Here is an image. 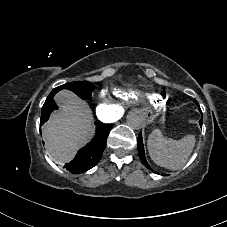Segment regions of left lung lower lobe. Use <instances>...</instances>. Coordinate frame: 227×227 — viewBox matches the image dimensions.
Listing matches in <instances>:
<instances>
[{"instance_id": "1", "label": "left lung lower lobe", "mask_w": 227, "mask_h": 227, "mask_svg": "<svg viewBox=\"0 0 227 227\" xmlns=\"http://www.w3.org/2000/svg\"><path fill=\"white\" fill-rule=\"evenodd\" d=\"M200 125H202V120L199 122ZM137 147H138V154L139 157L142 161V163L148 168L151 169L150 166L148 165L146 158H145V151H144V146H143V141H142V134L141 132L139 133L138 139H137ZM154 172V171H153Z\"/></svg>"}]
</instances>
